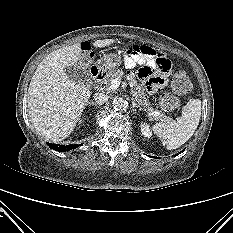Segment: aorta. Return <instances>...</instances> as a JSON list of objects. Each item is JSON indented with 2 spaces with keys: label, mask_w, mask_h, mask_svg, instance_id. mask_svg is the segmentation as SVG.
<instances>
[{
  "label": "aorta",
  "mask_w": 233,
  "mask_h": 233,
  "mask_svg": "<svg viewBox=\"0 0 233 233\" xmlns=\"http://www.w3.org/2000/svg\"><path fill=\"white\" fill-rule=\"evenodd\" d=\"M112 106L115 111H121L127 107V101L122 97L115 98L112 102Z\"/></svg>",
  "instance_id": "1"
}]
</instances>
